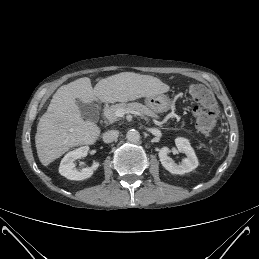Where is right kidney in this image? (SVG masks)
<instances>
[{"instance_id": "ca27d5eb", "label": "right kidney", "mask_w": 259, "mask_h": 259, "mask_svg": "<svg viewBox=\"0 0 259 259\" xmlns=\"http://www.w3.org/2000/svg\"><path fill=\"white\" fill-rule=\"evenodd\" d=\"M88 151L89 147L83 146L68 152L61 160L59 173L69 180L79 181L90 178L99 167V162H94L91 167L83 168L80 171L76 170L74 163L75 160L87 156Z\"/></svg>"}]
</instances>
